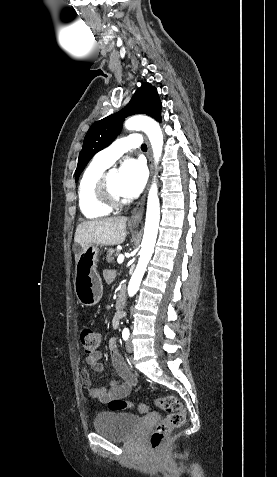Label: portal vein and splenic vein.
<instances>
[{"instance_id": "obj_1", "label": "portal vein and splenic vein", "mask_w": 277, "mask_h": 477, "mask_svg": "<svg viewBox=\"0 0 277 477\" xmlns=\"http://www.w3.org/2000/svg\"><path fill=\"white\" fill-rule=\"evenodd\" d=\"M123 261H124V255H123V254H119V255H118V258H117V262H118L119 264H121V263H123Z\"/></svg>"}]
</instances>
